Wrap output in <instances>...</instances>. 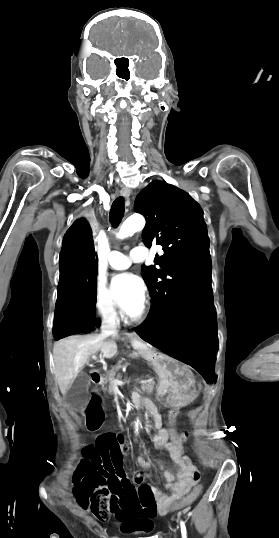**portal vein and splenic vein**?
Returning <instances> with one entry per match:
<instances>
[{"instance_id":"18ae733b","label":"portal vein and splenic vein","mask_w":279,"mask_h":538,"mask_svg":"<svg viewBox=\"0 0 279 538\" xmlns=\"http://www.w3.org/2000/svg\"><path fill=\"white\" fill-rule=\"evenodd\" d=\"M91 359L93 361H96L98 359L97 353L95 351H92L90 353ZM127 380H119V385H126ZM142 383H147V380H142ZM114 385H117V382H114Z\"/></svg>"}]
</instances>
